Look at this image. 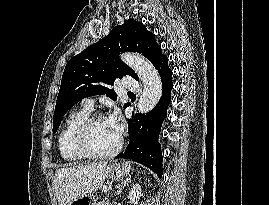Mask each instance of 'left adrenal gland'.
Returning a JSON list of instances; mask_svg holds the SVG:
<instances>
[{
	"instance_id": "1",
	"label": "left adrenal gland",
	"mask_w": 269,
	"mask_h": 205,
	"mask_svg": "<svg viewBox=\"0 0 269 205\" xmlns=\"http://www.w3.org/2000/svg\"><path fill=\"white\" fill-rule=\"evenodd\" d=\"M131 183V176H129L128 178H126V180H123L120 184H118L116 186L117 188V192L116 194L119 195L121 194V191L129 184Z\"/></svg>"
}]
</instances>
